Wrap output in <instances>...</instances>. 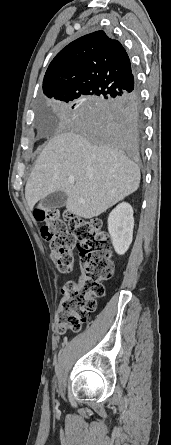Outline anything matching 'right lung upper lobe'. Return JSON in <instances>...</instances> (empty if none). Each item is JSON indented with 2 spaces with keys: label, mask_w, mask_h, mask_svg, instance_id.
Returning <instances> with one entry per match:
<instances>
[{
  "label": "right lung upper lobe",
  "mask_w": 171,
  "mask_h": 445,
  "mask_svg": "<svg viewBox=\"0 0 171 445\" xmlns=\"http://www.w3.org/2000/svg\"><path fill=\"white\" fill-rule=\"evenodd\" d=\"M136 89L128 54L119 41L102 30L64 47L50 63L43 80V93L56 100L75 92L121 98Z\"/></svg>",
  "instance_id": "obj_1"
}]
</instances>
